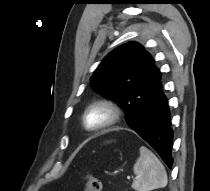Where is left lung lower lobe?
Returning <instances> with one entry per match:
<instances>
[{
	"label": "left lung lower lobe",
	"instance_id": "1",
	"mask_svg": "<svg viewBox=\"0 0 210 191\" xmlns=\"http://www.w3.org/2000/svg\"><path fill=\"white\" fill-rule=\"evenodd\" d=\"M161 74L155 80L152 90L137 105L136 114L129 126L142 137L169 168L172 167L171 156L173 131L168 101L161 84Z\"/></svg>",
	"mask_w": 210,
	"mask_h": 191
}]
</instances>
